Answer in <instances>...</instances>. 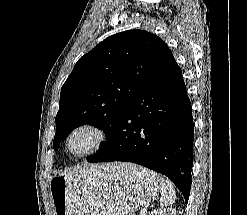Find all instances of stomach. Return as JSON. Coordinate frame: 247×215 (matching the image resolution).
I'll return each mask as SVG.
<instances>
[{
    "label": "stomach",
    "instance_id": "1",
    "mask_svg": "<svg viewBox=\"0 0 247 215\" xmlns=\"http://www.w3.org/2000/svg\"><path fill=\"white\" fill-rule=\"evenodd\" d=\"M49 188L54 215H128L157 198L160 178L133 164L112 163L54 176Z\"/></svg>",
    "mask_w": 247,
    "mask_h": 215
}]
</instances>
